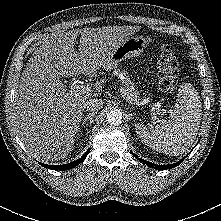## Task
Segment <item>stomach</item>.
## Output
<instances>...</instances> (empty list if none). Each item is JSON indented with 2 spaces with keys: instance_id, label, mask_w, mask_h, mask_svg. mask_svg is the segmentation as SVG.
<instances>
[{
  "instance_id": "0dacf381",
  "label": "stomach",
  "mask_w": 221,
  "mask_h": 221,
  "mask_svg": "<svg viewBox=\"0 0 221 221\" xmlns=\"http://www.w3.org/2000/svg\"><path fill=\"white\" fill-rule=\"evenodd\" d=\"M147 45V40L142 36L129 37L111 53L103 69H115L121 61L140 55Z\"/></svg>"
}]
</instances>
